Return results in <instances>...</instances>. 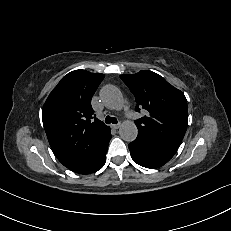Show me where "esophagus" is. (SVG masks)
Listing matches in <instances>:
<instances>
[{
  "label": "esophagus",
  "instance_id": "34e87169",
  "mask_svg": "<svg viewBox=\"0 0 231 231\" xmlns=\"http://www.w3.org/2000/svg\"><path fill=\"white\" fill-rule=\"evenodd\" d=\"M119 127H120V123L111 125V128H113V129H118Z\"/></svg>",
  "mask_w": 231,
  "mask_h": 231
}]
</instances>
